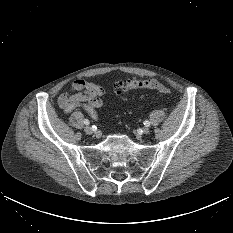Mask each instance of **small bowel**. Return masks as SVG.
<instances>
[{"instance_id": "c3829d8e", "label": "small bowel", "mask_w": 233, "mask_h": 233, "mask_svg": "<svg viewBox=\"0 0 233 233\" xmlns=\"http://www.w3.org/2000/svg\"><path fill=\"white\" fill-rule=\"evenodd\" d=\"M106 90L103 86L82 78L72 82L70 92L63 93L58 98L61 110L68 114L77 108H83L93 119L99 117L98 110L105 106L103 97Z\"/></svg>"}]
</instances>
